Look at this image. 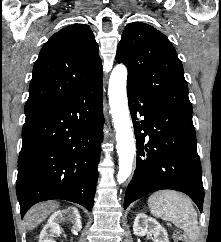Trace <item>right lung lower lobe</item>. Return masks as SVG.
Wrapping results in <instances>:
<instances>
[{
	"label": "right lung lower lobe",
	"mask_w": 221,
	"mask_h": 242,
	"mask_svg": "<svg viewBox=\"0 0 221 242\" xmlns=\"http://www.w3.org/2000/svg\"><path fill=\"white\" fill-rule=\"evenodd\" d=\"M102 76L60 101L25 110L18 158L21 216L34 204L63 199L94 204L103 139Z\"/></svg>",
	"instance_id": "1"
}]
</instances>
